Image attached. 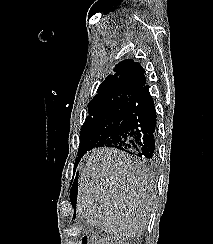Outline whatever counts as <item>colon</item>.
<instances>
[{
	"mask_svg": "<svg viewBox=\"0 0 213 244\" xmlns=\"http://www.w3.org/2000/svg\"><path fill=\"white\" fill-rule=\"evenodd\" d=\"M83 244H114L112 241H103V239H96V238H93V239H87V238H84L83 239Z\"/></svg>",
	"mask_w": 213,
	"mask_h": 244,
	"instance_id": "5ec220e1",
	"label": "colon"
}]
</instances>
